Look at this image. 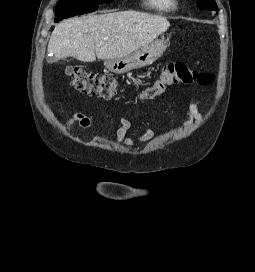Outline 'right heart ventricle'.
Masks as SVG:
<instances>
[{"label": "right heart ventricle", "mask_w": 255, "mask_h": 272, "mask_svg": "<svg viewBox=\"0 0 255 272\" xmlns=\"http://www.w3.org/2000/svg\"><path fill=\"white\" fill-rule=\"evenodd\" d=\"M146 9L166 14L177 9V0H143Z\"/></svg>", "instance_id": "obj_1"}]
</instances>
